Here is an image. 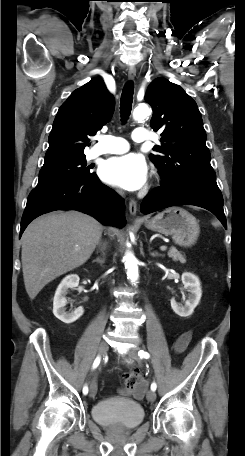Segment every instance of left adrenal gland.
Returning <instances> with one entry per match:
<instances>
[{"instance_id":"1","label":"left adrenal gland","mask_w":245,"mask_h":456,"mask_svg":"<svg viewBox=\"0 0 245 456\" xmlns=\"http://www.w3.org/2000/svg\"><path fill=\"white\" fill-rule=\"evenodd\" d=\"M151 250H152V249L149 247V253H150V255H151L152 257H159V256H162V257H163L162 254H159V253H157V252H152Z\"/></svg>"}]
</instances>
